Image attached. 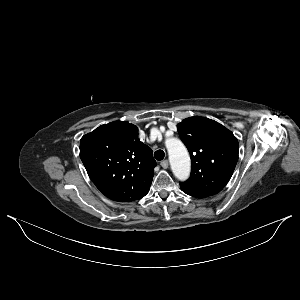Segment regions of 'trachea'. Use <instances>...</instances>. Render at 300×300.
Returning a JSON list of instances; mask_svg holds the SVG:
<instances>
[{
	"instance_id": "trachea-1",
	"label": "trachea",
	"mask_w": 300,
	"mask_h": 300,
	"mask_svg": "<svg viewBox=\"0 0 300 300\" xmlns=\"http://www.w3.org/2000/svg\"><path fill=\"white\" fill-rule=\"evenodd\" d=\"M154 157L156 160L158 161H161L164 159L165 157V153L163 150H157L155 153H154Z\"/></svg>"
}]
</instances>
